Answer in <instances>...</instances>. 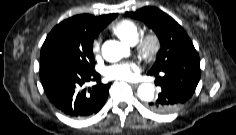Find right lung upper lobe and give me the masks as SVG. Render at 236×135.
Instances as JSON below:
<instances>
[{
  "label": "right lung upper lobe",
  "mask_w": 236,
  "mask_h": 135,
  "mask_svg": "<svg viewBox=\"0 0 236 135\" xmlns=\"http://www.w3.org/2000/svg\"><path fill=\"white\" fill-rule=\"evenodd\" d=\"M117 14H108L101 16H93L90 14H81L73 16L65 21L76 22L82 26L94 30L97 34L104 29L115 17Z\"/></svg>",
  "instance_id": "right-lung-upper-lobe-1"
}]
</instances>
